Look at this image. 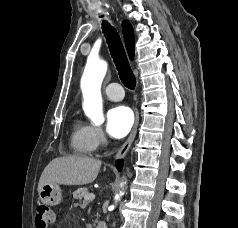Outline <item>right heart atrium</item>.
Segmentation results:
<instances>
[{
  "mask_svg": "<svg viewBox=\"0 0 238 228\" xmlns=\"http://www.w3.org/2000/svg\"><path fill=\"white\" fill-rule=\"evenodd\" d=\"M90 137L95 148L103 147L107 144V138L103 129L99 126H89Z\"/></svg>",
  "mask_w": 238,
  "mask_h": 228,
  "instance_id": "obj_1",
  "label": "right heart atrium"
}]
</instances>
